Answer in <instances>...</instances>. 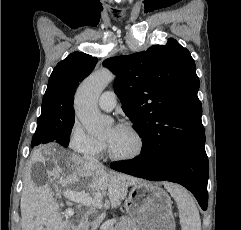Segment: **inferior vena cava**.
Instances as JSON below:
<instances>
[{
    "instance_id": "inferior-vena-cava-1",
    "label": "inferior vena cava",
    "mask_w": 241,
    "mask_h": 230,
    "mask_svg": "<svg viewBox=\"0 0 241 230\" xmlns=\"http://www.w3.org/2000/svg\"><path fill=\"white\" fill-rule=\"evenodd\" d=\"M85 160H87L91 165H95V166L101 165V163L95 157H92V156H86Z\"/></svg>"
}]
</instances>
